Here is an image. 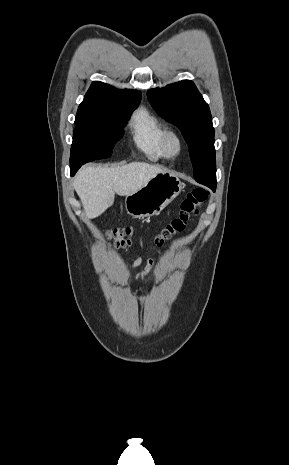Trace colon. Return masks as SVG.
Masks as SVG:
<instances>
[{"mask_svg": "<svg viewBox=\"0 0 289 465\" xmlns=\"http://www.w3.org/2000/svg\"><path fill=\"white\" fill-rule=\"evenodd\" d=\"M209 193L205 188H195L190 191L180 204L178 216L156 235L155 245L162 246L173 234L183 231L189 220L198 213L199 208L207 200ZM105 236L111 246L116 248H126L132 244L131 229L128 227L110 229L105 232Z\"/></svg>", "mask_w": 289, "mask_h": 465, "instance_id": "1", "label": "colon"}]
</instances>
